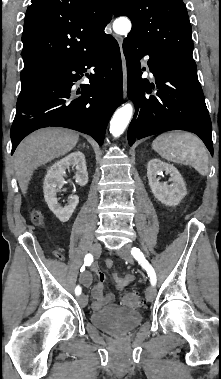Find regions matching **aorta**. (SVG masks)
Listing matches in <instances>:
<instances>
[{"label":"aorta","mask_w":221,"mask_h":379,"mask_svg":"<svg viewBox=\"0 0 221 379\" xmlns=\"http://www.w3.org/2000/svg\"><path fill=\"white\" fill-rule=\"evenodd\" d=\"M113 29L117 34L125 35L131 30V22L126 17L117 18L113 23ZM133 114V106L130 103L118 108L110 122V133L119 137L126 129Z\"/></svg>","instance_id":"aorta-1"}]
</instances>
